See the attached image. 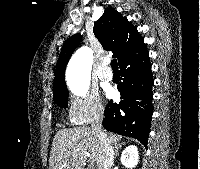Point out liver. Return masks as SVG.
Returning <instances> with one entry per match:
<instances>
[{"mask_svg":"<svg viewBox=\"0 0 200 169\" xmlns=\"http://www.w3.org/2000/svg\"><path fill=\"white\" fill-rule=\"evenodd\" d=\"M106 135L111 145L117 147L121 137ZM101 154L99 138L91 128L61 129L53 139L49 169H83L87 160L98 164Z\"/></svg>","mask_w":200,"mask_h":169,"instance_id":"liver-1","label":"liver"}]
</instances>
